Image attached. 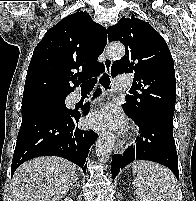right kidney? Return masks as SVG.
Returning <instances> with one entry per match:
<instances>
[{
	"mask_svg": "<svg viewBox=\"0 0 196 201\" xmlns=\"http://www.w3.org/2000/svg\"><path fill=\"white\" fill-rule=\"evenodd\" d=\"M64 201H73V200H72V198L67 197V198L64 199Z\"/></svg>",
	"mask_w": 196,
	"mask_h": 201,
	"instance_id": "ca27d5eb",
	"label": "right kidney"
}]
</instances>
